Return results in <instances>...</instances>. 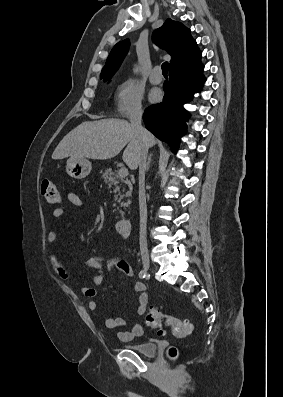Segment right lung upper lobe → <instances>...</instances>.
Here are the masks:
<instances>
[{
	"label": "right lung upper lobe",
	"instance_id": "obj_1",
	"mask_svg": "<svg viewBox=\"0 0 283 397\" xmlns=\"http://www.w3.org/2000/svg\"><path fill=\"white\" fill-rule=\"evenodd\" d=\"M153 41L171 56L170 69L201 57V52L196 41L191 37L190 30L170 18L153 32ZM128 48V40L118 42L113 47L100 75L103 80H108L114 75L127 54Z\"/></svg>",
	"mask_w": 283,
	"mask_h": 397
}]
</instances>
